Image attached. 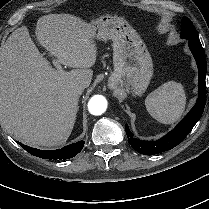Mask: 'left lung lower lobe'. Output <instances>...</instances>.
<instances>
[{
	"label": "left lung lower lobe",
	"instance_id": "obj_1",
	"mask_svg": "<svg viewBox=\"0 0 209 209\" xmlns=\"http://www.w3.org/2000/svg\"><path fill=\"white\" fill-rule=\"evenodd\" d=\"M188 44L199 70L197 101L187 116L172 131L157 141H142L134 138L126 124L128 142L138 153L154 155L174 148L185 139L203 114L206 103V56L200 40H189Z\"/></svg>",
	"mask_w": 209,
	"mask_h": 209
}]
</instances>
